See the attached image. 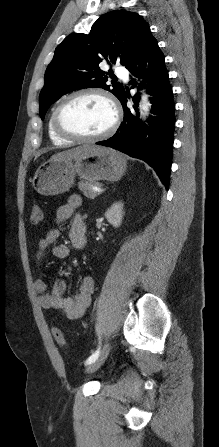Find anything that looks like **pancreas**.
<instances>
[{"label": "pancreas", "instance_id": "cf45deb5", "mask_svg": "<svg viewBox=\"0 0 219 447\" xmlns=\"http://www.w3.org/2000/svg\"><path fill=\"white\" fill-rule=\"evenodd\" d=\"M93 186H101L98 182L80 181L78 187L83 192L84 196L90 199H94L99 193L94 192Z\"/></svg>", "mask_w": 219, "mask_h": 447}]
</instances>
